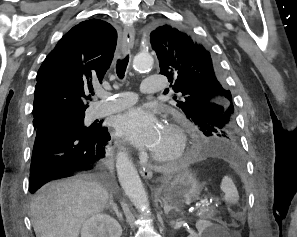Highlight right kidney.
Here are the masks:
<instances>
[{
	"instance_id": "ca27d5eb",
	"label": "right kidney",
	"mask_w": 297,
	"mask_h": 237,
	"mask_svg": "<svg viewBox=\"0 0 297 237\" xmlns=\"http://www.w3.org/2000/svg\"><path fill=\"white\" fill-rule=\"evenodd\" d=\"M120 224L108 214H95L83 225L81 237H121Z\"/></svg>"
}]
</instances>
